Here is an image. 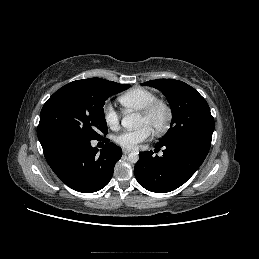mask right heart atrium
Instances as JSON below:
<instances>
[{
	"label": "right heart atrium",
	"mask_w": 259,
	"mask_h": 259,
	"mask_svg": "<svg viewBox=\"0 0 259 259\" xmlns=\"http://www.w3.org/2000/svg\"><path fill=\"white\" fill-rule=\"evenodd\" d=\"M103 119L111 129H117L120 123V115L110 102H106L102 108Z\"/></svg>",
	"instance_id": "right-heart-atrium-1"
}]
</instances>
